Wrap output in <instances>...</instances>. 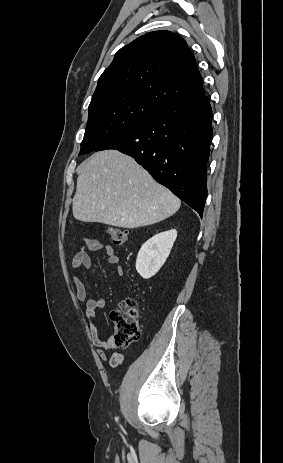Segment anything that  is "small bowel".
I'll list each match as a JSON object with an SVG mask.
<instances>
[{
	"label": "small bowel",
	"instance_id": "obj_1",
	"mask_svg": "<svg viewBox=\"0 0 283 463\" xmlns=\"http://www.w3.org/2000/svg\"><path fill=\"white\" fill-rule=\"evenodd\" d=\"M88 251L104 253L107 257V264L115 268L117 275L122 276L124 274V270L119 263V257L114 253L112 246L104 245L96 239H84L82 241L80 249L71 260L73 269H80L81 267L92 269L94 267ZM73 283L77 299L86 304V316L90 320L89 336L92 344L97 349L98 356L102 361L108 362L111 367L115 368L122 365L124 363V355L122 353L113 352L110 357H107L105 351L116 349L117 346L114 343L113 337H107L106 339L100 337L98 327L94 322L97 310L106 305V299L104 297L96 299L88 298L86 287L78 277L73 278Z\"/></svg>",
	"mask_w": 283,
	"mask_h": 463
}]
</instances>
